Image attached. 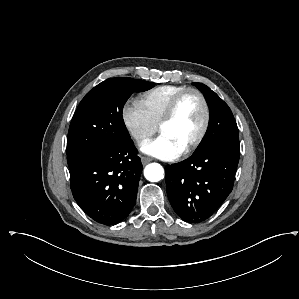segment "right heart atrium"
<instances>
[{"label":"right heart atrium","mask_w":299,"mask_h":299,"mask_svg":"<svg viewBox=\"0 0 299 299\" xmlns=\"http://www.w3.org/2000/svg\"><path fill=\"white\" fill-rule=\"evenodd\" d=\"M122 120L128 134L137 144L147 141L156 131V125L148 118L138 102L124 104Z\"/></svg>","instance_id":"1"}]
</instances>
